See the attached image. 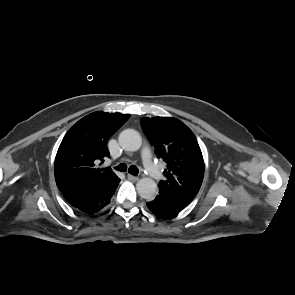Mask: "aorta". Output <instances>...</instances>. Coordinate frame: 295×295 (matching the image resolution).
Wrapping results in <instances>:
<instances>
[{
	"label": "aorta",
	"mask_w": 295,
	"mask_h": 295,
	"mask_svg": "<svg viewBox=\"0 0 295 295\" xmlns=\"http://www.w3.org/2000/svg\"><path fill=\"white\" fill-rule=\"evenodd\" d=\"M118 141L126 151H137L142 145V138L134 129L123 130L118 137ZM136 189L142 198L151 201L156 196L157 185L153 179L144 177L137 182Z\"/></svg>",
	"instance_id": "obj_1"
}]
</instances>
